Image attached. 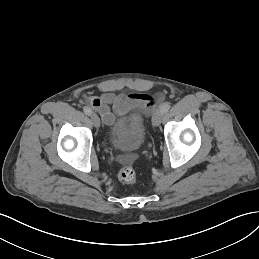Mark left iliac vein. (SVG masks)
<instances>
[{
    "label": "left iliac vein",
    "mask_w": 259,
    "mask_h": 259,
    "mask_svg": "<svg viewBox=\"0 0 259 259\" xmlns=\"http://www.w3.org/2000/svg\"><path fill=\"white\" fill-rule=\"evenodd\" d=\"M162 117L163 113L160 110L156 111L152 119L153 125L158 126L161 123Z\"/></svg>",
    "instance_id": "4c4485c4"
}]
</instances>
